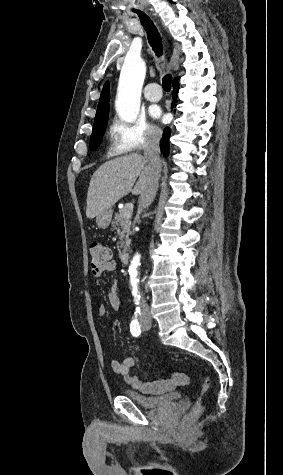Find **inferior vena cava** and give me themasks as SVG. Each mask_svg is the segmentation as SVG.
<instances>
[{
    "instance_id": "602c4592",
    "label": "inferior vena cava",
    "mask_w": 283,
    "mask_h": 475,
    "mask_svg": "<svg viewBox=\"0 0 283 475\" xmlns=\"http://www.w3.org/2000/svg\"><path fill=\"white\" fill-rule=\"evenodd\" d=\"M148 136H150V140L144 150V158L147 162L145 172L148 174L149 178L146 184V192L141 194L139 198L138 212H143L144 208H148L151 202H153L158 190V182L162 170V160L159 158V144L162 134L161 132H159V134H155V132H153V134H148ZM141 307L143 309V313H147V311H149L148 303H146V299H144V297H142Z\"/></svg>"
}]
</instances>
